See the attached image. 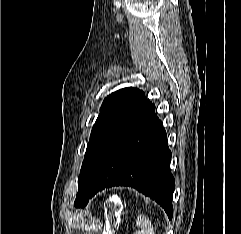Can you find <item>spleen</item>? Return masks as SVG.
<instances>
[{
    "instance_id": "spleen-1",
    "label": "spleen",
    "mask_w": 241,
    "mask_h": 234,
    "mask_svg": "<svg viewBox=\"0 0 241 234\" xmlns=\"http://www.w3.org/2000/svg\"><path fill=\"white\" fill-rule=\"evenodd\" d=\"M136 225L141 229L136 234H155L151 220L143 214L138 215Z\"/></svg>"
}]
</instances>
